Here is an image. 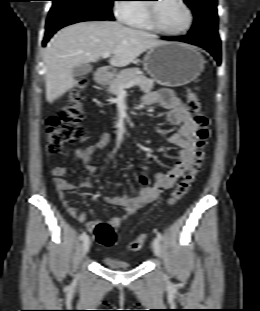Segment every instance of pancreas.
<instances>
[{"label": "pancreas", "instance_id": "cf45deb5", "mask_svg": "<svg viewBox=\"0 0 260 311\" xmlns=\"http://www.w3.org/2000/svg\"><path fill=\"white\" fill-rule=\"evenodd\" d=\"M135 79L140 80L137 85L144 93L150 92L154 87V81L143 76L138 68H130L121 71L115 78H113L110 81V86L107 91L112 95H117L122 87Z\"/></svg>", "mask_w": 260, "mask_h": 311}]
</instances>
